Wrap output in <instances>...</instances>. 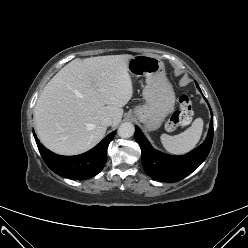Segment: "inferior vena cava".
<instances>
[{
  "instance_id": "1",
  "label": "inferior vena cava",
  "mask_w": 248,
  "mask_h": 248,
  "mask_svg": "<svg viewBox=\"0 0 248 248\" xmlns=\"http://www.w3.org/2000/svg\"><path fill=\"white\" fill-rule=\"evenodd\" d=\"M101 123L104 125V126H111L113 124V119L112 117L110 116H106L102 119Z\"/></svg>"
}]
</instances>
